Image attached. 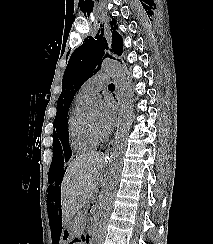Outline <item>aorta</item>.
Instances as JSON below:
<instances>
[{"label": "aorta", "instance_id": "aorta-1", "mask_svg": "<svg viewBox=\"0 0 213 244\" xmlns=\"http://www.w3.org/2000/svg\"><path fill=\"white\" fill-rule=\"evenodd\" d=\"M101 69L115 79L119 110L108 173L102 182V187L94 207L91 244H104L108 217L113 207L114 196L121 177L124 153L132 122L130 83L125 77L122 64L113 59H106L102 62ZM89 109L92 113H98L102 110V103L97 99H92L89 103Z\"/></svg>", "mask_w": 213, "mask_h": 244}]
</instances>
